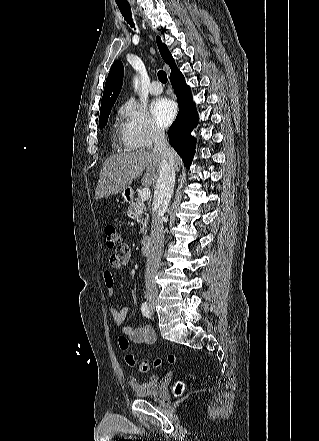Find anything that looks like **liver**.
<instances>
[{
  "instance_id": "1",
  "label": "liver",
  "mask_w": 319,
  "mask_h": 441,
  "mask_svg": "<svg viewBox=\"0 0 319 441\" xmlns=\"http://www.w3.org/2000/svg\"><path fill=\"white\" fill-rule=\"evenodd\" d=\"M175 153V152H174ZM182 165L180 157L175 153V169ZM142 185L155 187L159 178V159L150 151L120 153L112 155L103 163L95 191V199H101L126 190L134 179L141 176Z\"/></svg>"
}]
</instances>
